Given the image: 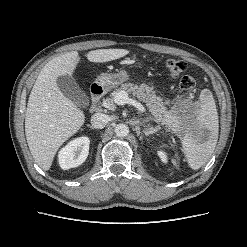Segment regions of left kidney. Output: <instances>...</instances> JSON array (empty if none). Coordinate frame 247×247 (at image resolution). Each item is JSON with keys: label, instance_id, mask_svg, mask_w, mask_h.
<instances>
[{"label": "left kidney", "instance_id": "obj_1", "mask_svg": "<svg viewBox=\"0 0 247 247\" xmlns=\"http://www.w3.org/2000/svg\"><path fill=\"white\" fill-rule=\"evenodd\" d=\"M158 155L163 162H167V155L164 151H162V150L158 151Z\"/></svg>", "mask_w": 247, "mask_h": 247}]
</instances>
